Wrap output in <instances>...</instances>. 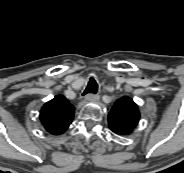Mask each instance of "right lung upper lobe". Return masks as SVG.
<instances>
[{
	"label": "right lung upper lobe",
	"mask_w": 184,
	"mask_h": 173,
	"mask_svg": "<svg viewBox=\"0 0 184 173\" xmlns=\"http://www.w3.org/2000/svg\"><path fill=\"white\" fill-rule=\"evenodd\" d=\"M74 107L62 95L55 96L47 102L41 109L40 120L52 135L64 133L72 123Z\"/></svg>",
	"instance_id": "obj_1"
}]
</instances>
